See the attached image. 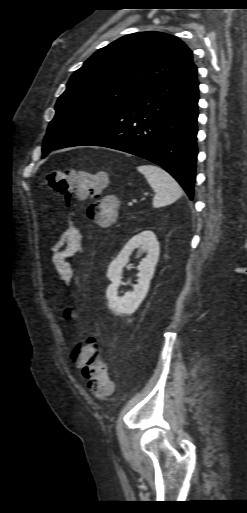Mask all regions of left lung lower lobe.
Returning <instances> with one entry per match:
<instances>
[{
	"label": "left lung lower lobe",
	"instance_id": "1",
	"mask_svg": "<svg viewBox=\"0 0 247 513\" xmlns=\"http://www.w3.org/2000/svg\"><path fill=\"white\" fill-rule=\"evenodd\" d=\"M198 86L192 61L168 81L54 149L93 145L145 158L169 172L192 200L198 154Z\"/></svg>",
	"mask_w": 247,
	"mask_h": 513
}]
</instances>
